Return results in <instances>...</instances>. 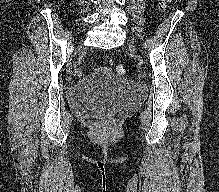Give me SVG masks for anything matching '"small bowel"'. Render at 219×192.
I'll return each instance as SVG.
<instances>
[{
	"label": "small bowel",
	"instance_id": "obj_1",
	"mask_svg": "<svg viewBox=\"0 0 219 192\" xmlns=\"http://www.w3.org/2000/svg\"><path fill=\"white\" fill-rule=\"evenodd\" d=\"M101 71H102V72H109L110 69H109V68H102Z\"/></svg>",
	"mask_w": 219,
	"mask_h": 192
}]
</instances>
